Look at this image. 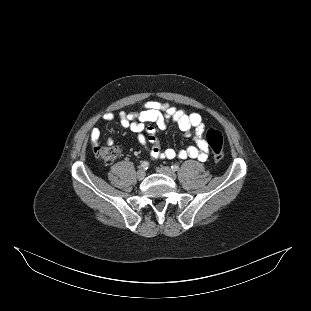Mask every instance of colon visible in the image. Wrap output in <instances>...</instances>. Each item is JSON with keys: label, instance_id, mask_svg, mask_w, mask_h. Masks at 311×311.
Wrapping results in <instances>:
<instances>
[{"label": "colon", "instance_id": "1", "mask_svg": "<svg viewBox=\"0 0 311 311\" xmlns=\"http://www.w3.org/2000/svg\"><path fill=\"white\" fill-rule=\"evenodd\" d=\"M206 142L213 152V157L216 161H221L224 158L223 138L220 131L209 129L206 134ZM95 155L102 164H111L119 156L120 149L117 146H99L96 147Z\"/></svg>", "mask_w": 311, "mask_h": 311}]
</instances>
